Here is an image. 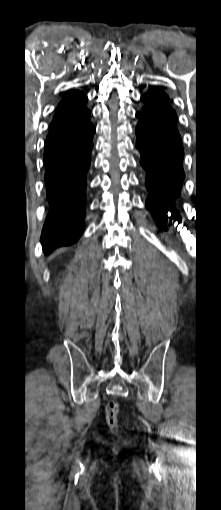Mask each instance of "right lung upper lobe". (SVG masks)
I'll return each instance as SVG.
<instances>
[{"instance_id": "cb5924a9", "label": "right lung upper lobe", "mask_w": 221, "mask_h": 510, "mask_svg": "<svg viewBox=\"0 0 221 510\" xmlns=\"http://www.w3.org/2000/svg\"><path fill=\"white\" fill-rule=\"evenodd\" d=\"M86 101V95L80 91L69 92L57 107L48 136L70 133L82 127L91 118Z\"/></svg>"}]
</instances>
